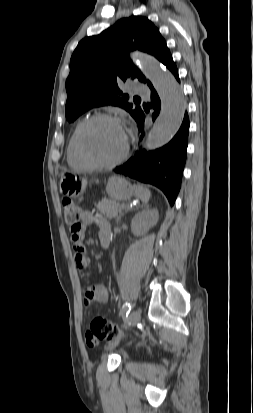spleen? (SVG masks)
Listing matches in <instances>:
<instances>
[{
	"mask_svg": "<svg viewBox=\"0 0 253 413\" xmlns=\"http://www.w3.org/2000/svg\"><path fill=\"white\" fill-rule=\"evenodd\" d=\"M135 194L142 200V202L147 203L151 197V192L148 188L142 185H134Z\"/></svg>",
	"mask_w": 253,
	"mask_h": 413,
	"instance_id": "obj_1",
	"label": "spleen"
}]
</instances>
